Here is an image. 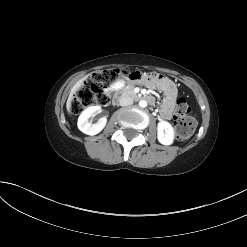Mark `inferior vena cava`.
I'll return each mask as SVG.
<instances>
[{"label":"inferior vena cava","mask_w":247,"mask_h":247,"mask_svg":"<svg viewBox=\"0 0 247 247\" xmlns=\"http://www.w3.org/2000/svg\"><path fill=\"white\" fill-rule=\"evenodd\" d=\"M120 106H128L133 104V99L129 95L123 94L119 99Z\"/></svg>","instance_id":"obj_1"}]
</instances>
